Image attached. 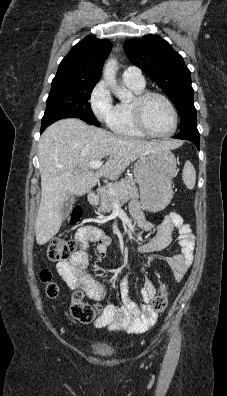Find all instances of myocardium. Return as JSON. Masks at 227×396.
I'll return each mask as SVG.
<instances>
[{
  "instance_id": "obj_1",
  "label": "myocardium",
  "mask_w": 227,
  "mask_h": 396,
  "mask_svg": "<svg viewBox=\"0 0 227 396\" xmlns=\"http://www.w3.org/2000/svg\"><path fill=\"white\" fill-rule=\"evenodd\" d=\"M152 97H157L163 100L166 105L169 107L172 116H173V128L170 132L168 133H156L151 131L144 119V108L147 103V101L152 98ZM131 109H132V115L134 122L137 126V128L143 132L145 135L150 136V137H155V138H168L173 136L178 128L179 124V117H178V112L172 103V101L164 94L157 92V91H143L142 93L136 95L134 99L131 102Z\"/></svg>"
}]
</instances>
